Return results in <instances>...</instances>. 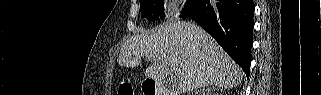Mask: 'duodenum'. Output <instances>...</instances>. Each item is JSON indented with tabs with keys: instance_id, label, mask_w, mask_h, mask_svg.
Masks as SVG:
<instances>
[{
	"instance_id": "1",
	"label": "duodenum",
	"mask_w": 321,
	"mask_h": 95,
	"mask_svg": "<svg viewBox=\"0 0 321 95\" xmlns=\"http://www.w3.org/2000/svg\"><path fill=\"white\" fill-rule=\"evenodd\" d=\"M159 94H161V93H159V92H156V95H159Z\"/></svg>"
}]
</instances>
